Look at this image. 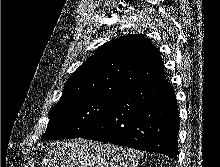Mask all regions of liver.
<instances>
[{
  "label": "liver",
  "instance_id": "obj_1",
  "mask_svg": "<svg viewBox=\"0 0 220 167\" xmlns=\"http://www.w3.org/2000/svg\"><path fill=\"white\" fill-rule=\"evenodd\" d=\"M137 150L82 138L56 142L41 167H136Z\"/></svg>",
  "mask_w": 220,
  "mask_h": 167
}]
</instances>
